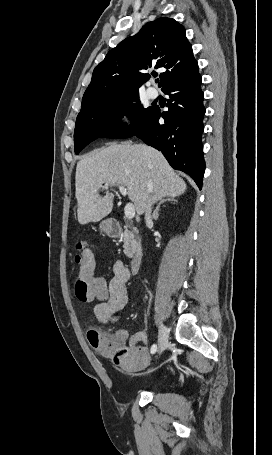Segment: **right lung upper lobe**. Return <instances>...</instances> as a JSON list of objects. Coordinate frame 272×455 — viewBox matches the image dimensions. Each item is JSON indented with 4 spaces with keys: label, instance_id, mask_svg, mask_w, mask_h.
Instances as JSON below:
<instances>
[{
    "label": "right lung upper lobe",
    "instance_id": "1",
    "mask_svg": "<svg viewBox=\"0 0 272 455\" xmlns=\"http://www.w3.org/2000/svg\"><path fill=\"white\" fill-rule=\"evenodd\" d=\"M153 67L166 70L160 74L162 90L198 70L185 29L174 19L148 22L110 50L93 71L80 113L139 94V87L150 78L143 71Z\"/></svg>",
    "mask_w": 272,
    "mask_h": 455
}]
</instances>
